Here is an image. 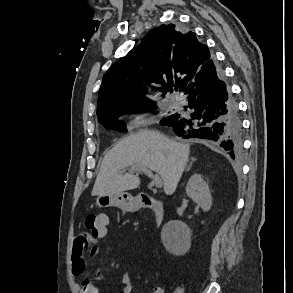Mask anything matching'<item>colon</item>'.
Segmentation results:
<instances>
[{
    "label": "colon",
    "instance_id": "colon-1",
    "mask_svg": "<svg viewBox=\"0 0 293 293\" xmlns=\"http://www.w3.org/2000/svg\"><path fill=\"white\" fill-rule=\"evenodd\" d=\"M108 218L103 214H88L85 217L84 225L92 235L102 234L107 226Z\"/></svg>",
    "mask_w": 293,
    "mask_h": 293
}]
</instances>
